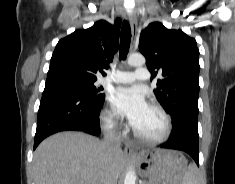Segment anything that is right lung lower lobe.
I'll list each match as a JSON object with an SVG mask.
<instances>
[{
	"instance_id": "98d812e1",
	"label": "right lung lower lobe",
	"mask_w": 235,
	"mask_h": 184,
	"mask_svg": "<svg viewBox=\"0 0 235 184\" xmlns=\"http://www.w3.org/2000/svg\"><path fill=\"white\" fill-rule=\"evenodd\" d=\"M104 100L97 101L62 83L45 86L38 111L34 149L57 132L83 131L100 135L99 114Z\"/></svg>"
}]
</instances>
